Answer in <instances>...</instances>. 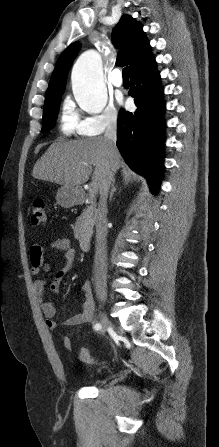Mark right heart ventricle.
<instances>
[{
	"instance_id": "1",
	"label": "right heart ventricle",
	"mask_w": 219,
	"mask_h": 447,
	"mask_svg": "<svg viewBox=\"0 0 219 447\" xmlns=\"http://www.w3.org/2000/svg\"><path fill=\"white\" fill-rule=\"evenodd\" d=\"M82 124L83 121L79 118L76 110L69 101H66L60 119V129L63 135L66 137L72 135H86Z\"/></svg>"
}]
</instances>
